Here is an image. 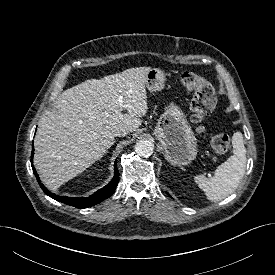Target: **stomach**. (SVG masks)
I'll list each match as a JSON object with an SVG mask.
<instances>
[{
    "mask_svg": "<svg viewBox=\"0 0 275 275\" xmlns=\"http://www.w3.org/2000/svg\"><path fill=\"white\" fill-rule=\"evenodd\" d=\"M165 74L159 68L149 70L146 86L150 91H160L165 85ZM154 133L159 139L165 159L175 166H185L197 156V139L183 111L170 104L161 114Z\"/></svg>",
    "mask_w": 275,
    "mask_h": 275,
    "instance_id": "obj_1",
    "label": "stomach"
}]
</instances>
